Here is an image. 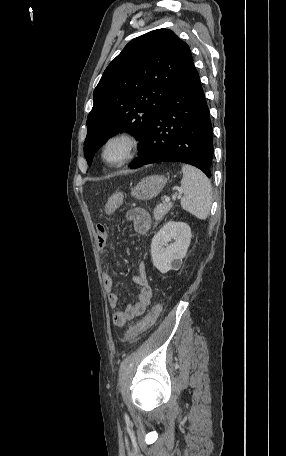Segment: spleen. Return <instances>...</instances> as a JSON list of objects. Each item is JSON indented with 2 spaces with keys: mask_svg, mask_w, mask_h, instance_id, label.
Listing matches in <instances>:
<instances>
[{
  "mask_svg": "<svg viewBox=\"0 0 286 456\" xmlns=\"http://www.w3.org/2000/svg\"><path fill=\"white\" fill-rule=\"evenodd\" d=\"M181 187L184 196L181 206L198 219L204 220L210 213L212 204V187L209 179L199 169L190 165L182 167Z\"/></svg>",
  "mask_w": 286,
  "mask_h": 456,
  "instance_id": "obj_1",
  "label": "spleen"
}]
</instances>
